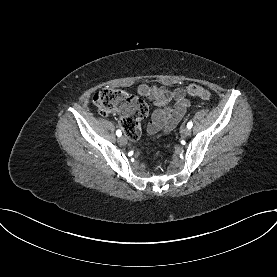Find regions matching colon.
Here are the masks:
<instances>
[{
    "mask_svg": "<svg viewBox=\"0 0 277 277\" xmlns=\"http://www.w3.org/2000/svg\"><path fill=\"white\" fill-rule=\"evenodd\" d=\"M186 92L203 100L209 98V92L200 85L191 84L187 86ZM92 101L104 115L115 112L121 113L120 125L122 129L130 138H138L140 121L148 113L147 105L142 100L120 89L107 87L95 92Z\"/></svg>",
    "mask_w": 277,
    "mask_h": 277,
    "instance_id": "obj_1",
    "label": "colon"
}]
</instances>
